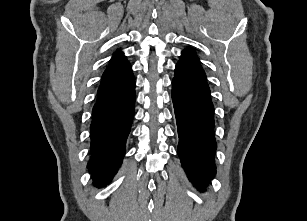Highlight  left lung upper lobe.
<instances>
[{
    "mask_svg": "<svg viewBox=\"0 0 307 221\" xmlns=\"http://www.w3.org/2000/svg\"><path fill=\"white\" fill-rule=\"evenodd\" d=\"M184 51L189 53V54H191V55H193V56H195V57H197V55H196V53H195V51L193 49H188V50H184Z\"/></svg>",
    "mask_w": 307,
    "mask_h": 221,
    "instance_id": "left-lung-upper-lobe-1",
    "label": "left lung upper lobe"
}]
</instances>
